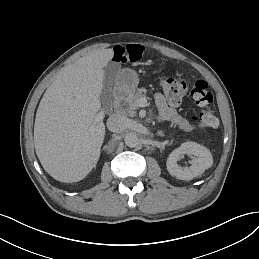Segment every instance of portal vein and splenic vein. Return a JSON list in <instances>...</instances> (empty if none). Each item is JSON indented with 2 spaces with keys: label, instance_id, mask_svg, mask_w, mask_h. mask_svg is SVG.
<instances>
[{
  "label": "portal vein and splenic vein",
  "instance_id": "portal-vein-and-splenic-vein-1",
  "mask_svg": "<svg viewBox=\"0 0 259 259\" xmlns=\"http://www.w3.org/2000/svg\"><path fill=\"white\" fill-rule=\"evenodd\" d=\"M143 102H147V100H146L145 97H142V98L139 99V104H141V103H143ZM141 106L144 107L145 104H142ZM103 116H104V113L101 112V113L99 114V117L96 116V120H97V121H100V120L103 118Z\"/></svg>",
  "mask_w": 259,
  "mask_h": 259
}]
</instances>
